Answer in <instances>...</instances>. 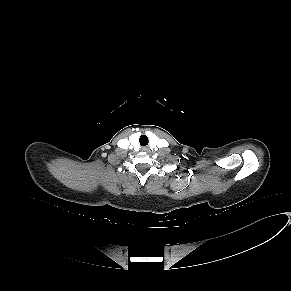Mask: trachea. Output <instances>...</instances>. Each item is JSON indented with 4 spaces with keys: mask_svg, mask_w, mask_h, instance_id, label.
Wrapping results in <instances>:
<instances>
[{
    "mask_svg": "<svg viewBox=\"0 0 291 291\" xmlns=\"http://www.w3.org/2000/svg\"><path fill=\"white\" fill-rule=\"evenodd\" d=\"M139 142L141 146L148 145V137L146 135H141L139 138Z\"/></svg>",
    "mask_w": 291,
    "mask_h": 291,
    "instance_id": "3493384b",
    "label": "trachea"
}]
</instances>
